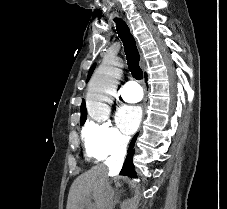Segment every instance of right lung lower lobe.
I'll list each match as a JSON object with an SVG mask.
<instances>
[{"label":"right lung lower lobe","mask_w":227,"mask_h":209,"mask_svg":"<svg viewBox=\"0 0 227 209\" xmlns=\"http://www.w3.org/2000/svg\"><path fill=\"white\" fill-rule=\"evenodd\" d=\"M145 78H147V75L145 76ZM137 135L138 134H136L133 137V139L130 143V146H129V149H128V154H127L126 160L124 162L123 168L121 170L122 175H128V176H133V177L136 176V174L133 170L134 165L132 163V157H133V153H134L133 147H134V144L136 142Z\"/></svg>","instance_id":"obj_1"}]
</instances>
